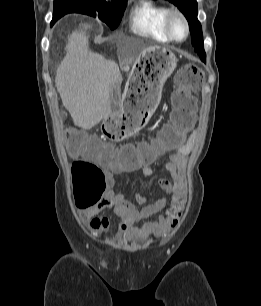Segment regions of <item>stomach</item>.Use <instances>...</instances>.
I'll list each match as a JSON object with an SVG mask.
<instances>
[{
    "label": "stomach",
    "instance_id": "stomach-1",
    "mask_svg": "<svg viewBox=\"0 0 261 306\" xmlns=\"http://www.w3.org/2000/svg\"><path fill=\"white\" fill-rule=\"evenodd\" d=\"M136 64L145 67L148 73H141L143 77L139 80L133 76L125 89L116 115L118 122L125 126V137L137 133L148 123L161 100L166 80L176 68L177 58L169 49L155 46L144 50ZM135 73L137 76L138 71Z\"/></svg>",
    "mask_w": 261,
    "mask_h": 306
}]
</instances>
